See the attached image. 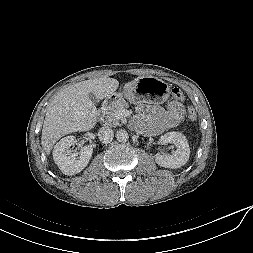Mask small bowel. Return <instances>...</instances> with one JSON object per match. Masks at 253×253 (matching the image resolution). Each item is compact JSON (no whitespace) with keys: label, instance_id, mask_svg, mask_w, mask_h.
I'll use <instances>...</instances> for the list:
<instances>
[{"label":"small bowel","instance_id":"obj_1","mask_svg":"<svg viewBox=\"0 0 253 253\" xmlns=\"http://www.w3.org/2000/svg\"><path fill=\"white\" fill-rule=\"evenodd\" d=\"M184 115V106L171 101L166 108L143 104L136 108V121L145 126L149 134L157 135L179 124Z\"/></svg>","mask_w":253,"mask_h":253}]
</instances>
